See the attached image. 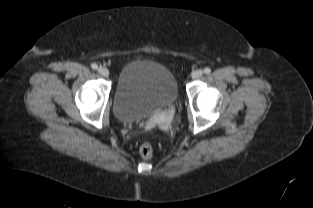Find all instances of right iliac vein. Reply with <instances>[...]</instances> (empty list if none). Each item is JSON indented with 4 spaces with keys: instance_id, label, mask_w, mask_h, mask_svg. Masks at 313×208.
<instances>
[{
    "instance_id": "1",
    "label": "right iliac vein",
    "mask_w": 313,
    "mask_h": 208,
    "mask_svg": "<svg viewBox=\"0 0 313 208\" xmlns=\"http://www.w3.org/2000/svg\"><path fill=\"white\" fill-rule=\"evenodd\" d=\"M98 72L103 77H108L109 76V70L106 67H99L98 68Z\"/></svg>"
}]
</instances>
